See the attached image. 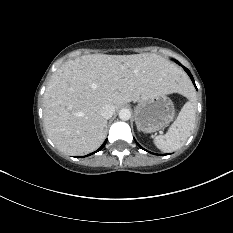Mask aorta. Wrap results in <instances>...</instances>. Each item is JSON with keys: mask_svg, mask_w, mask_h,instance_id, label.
I'll return each mask as SVG.
<instances>
[{"mask_svg": "<svg viewBox=\"0 0 233 233\" xmlns=\"http://www.w3.org/2000/svg\"><path fill=\"white\" fill-rule=\"evenodd\" d=\"M119 118L123 121L129 120L131 118V111L127 108H122L119 111Z\"/></svg>", "mask_w": 233, "mask_h": 233, "instance_id": "obj_1", "label": "aorta"}]
</instances>
